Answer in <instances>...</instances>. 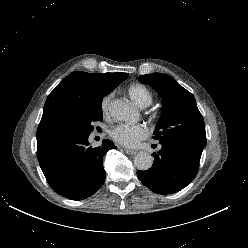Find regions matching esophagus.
<instances>
[{
  "label": "esophagus",
  "mask_w": 248,
  "mask_h": 248,
  "mask_svg": "<svg viewBox=\"0 0 248 248\" xmlns=\"http://www.w3.org/2000/svg\"><path fill=\"white\" fill-rule=\"evenodd\" d=\"M125 152L129 155H135L136 154V150H132V149H129V148H124Z\"/></svg>",
  "instance_id": "1"
}]
</instances>
